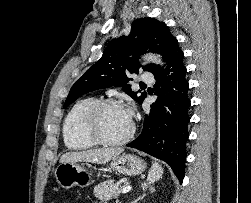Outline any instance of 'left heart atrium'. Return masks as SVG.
I'll return each instance as SVG.
<instances>
[{
  "label": "left heart atrium",
  "mask_w": 251,
  "mask_h": 203,
  "mask_svg": "<svg viewBox=\"0 0 251 203\" xmlns=\"http://www.w3.org/2000/svg\"><path fill=\"white\" fill-rule=\"evenodd\" d=\"M124 111L127 114L128 118L132 121V117H133L132 109L129 106H127V107H124Z\"/></svg>",
  "instance_id": "obj_1"
}]
</instances>
